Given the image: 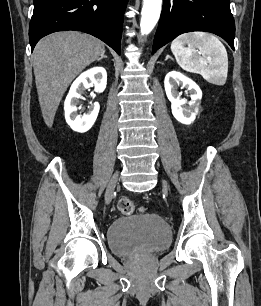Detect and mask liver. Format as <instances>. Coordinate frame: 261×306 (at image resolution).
Masks as SVG:
<instances>
[{
	"mask_svg": "<svg viewBox=\"0 0 261 306\" xmlns=\"http://www.w3.org/2000/svg\"><path fill=\"white\" fill-rule=\"evenodd\" d=\"M104 43L78 31H64L41 39L33 52L39 104L48 127L73 79L104 55Z\"/></svg>",
	"mask_w": 261,
	"mask_h": 306,
	"instance_id": "obj_1",
	"label": "liver"
}]
</instances>
